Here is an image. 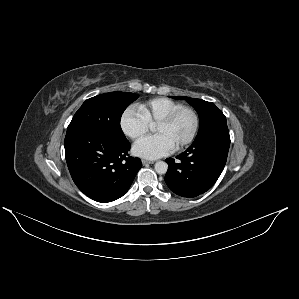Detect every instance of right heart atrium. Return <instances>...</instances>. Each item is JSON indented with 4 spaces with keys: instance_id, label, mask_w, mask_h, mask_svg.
I'll return each mask as SVG.
<instances>
[{
    "instance_id": "right-heart-atrium-1",
    "label": "right heart atrium",
    "mask_w": 299,
    "mask_h": 299,
    "mask_svg": "<svg viewBox=\"0 0 299 299\" xmlns=\"http://www.w3.org/2000/svg\"><path fill=\"white\" fill-rule=\"evenodd\" d=\"M120 124L125 135L133 140L142 138L151 129V126L135 107H130L123 113Z\"/></svg>"
}]
</instances>
